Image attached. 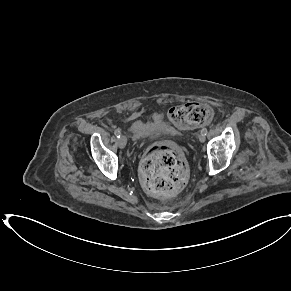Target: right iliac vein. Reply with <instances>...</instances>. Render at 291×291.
<instances>
[{
    "label": "right iliac vein",
    "instance_id": "obj_1",
    "mask_svg": "<svg viewBox=\"0 0 291 291\" xmlns=\"http://www.w3.org/2000/svg\"><path fill=\"white\" fill-rule=\"evenodd\" d=\"M126 144H127V138L124 135H122L118 140V145L121 149H123L125 148Z\"/></svg>",
    "mask_w": 291,
    "mask_h": 291
}]
</instances>
